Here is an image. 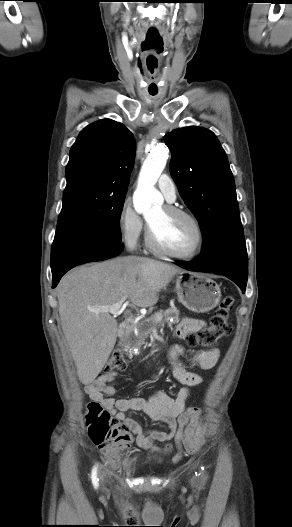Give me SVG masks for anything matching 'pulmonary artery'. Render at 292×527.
<instances>
[{
	"instance_id": "e3ab8cb5",
	"label": "pulmonary artery",
	"mask_w": 292,
	"mask_h": 527,
	"mask_svg": "<svg viewBox=\"0 0 292 527\" xmlns=\"http://www.w3.org/2000/svg\"><path fill=\"white\" fill-rule=\"evenodd\" d=\"M157 185L168 202L176 199V186L168 175L162 174L157 181Z\"/></svg>"
}]
</instances>
